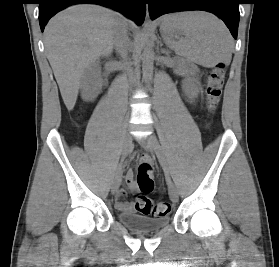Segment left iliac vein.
I'll return each instance as SVG.
<instances>
[{
  "label": "left iliac vein",
  "instance_id": "1",
  "mask_svg": "<svg viewBox=\"0 0 279 267\" xmlns=\"http://www.w3.org/2000/svg\"><path fill=\"white\" fill-rule=\"evenodd\" d=\"M143 144L151 152L158 153L160 151V145L154 135H149L142 139ZM169 196L172 202H178V191L172 182L168 183Z\"/></svg>",
  "mask_w": 279,
  "mask_h": 267
}]
</instances>
